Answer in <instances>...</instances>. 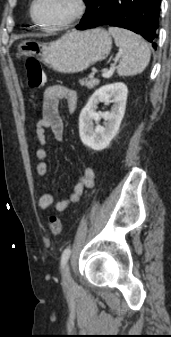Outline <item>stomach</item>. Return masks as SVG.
I'll use <instances>...</instances> for the list:
<instances>
[{"mask_svg":"<svg viewBox=\"0 0 171 337\" xmlns=\"http://www.w3.org/2000/svg\"><path fill=\"white\" fill-rule=\"evenodd\" d=\"M112 47L109 33L102 28L71 31L49 44L25 40L17 46L18 54L37 56L53 70L77 73L108 57Z\"/></svg>","mask_w":171,"mask_h":337,"instance_id":"stomach-1","label":"stomach"}]
</instances>
